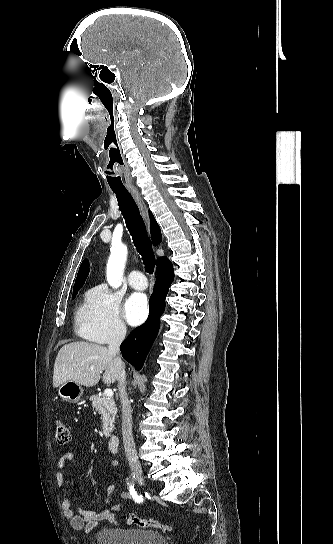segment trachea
Wrapping results in <instances>:
<instances>
[{
  "label": "trachea",
  "instance_id": "obj_1",
  "mask_svg": "<svg viewBox=\"0 0 333 544\" xmlns=\"http://www.w3.org/2000/svg\"><path fill=\"white\" fill-rule=\"evenodd\" d=\"M112 191L116 194L120 211L133 242L142 257L145 269L149 274H153L156 263L155 255L139 208L127 190L112 189Z\"/></svg>",
  "mask_w": 333,
  "mask_h": 544
}]
</instances>
